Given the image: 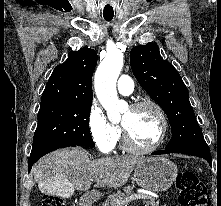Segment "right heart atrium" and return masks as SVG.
Listing matches in <instances>:
<instances>
[{
  "instance_id": "1",
  "label": "right heart atrium",
  "mask_w": 221,
  "mask_h": 206,
  "mask_svg": "<svg viewBox=\"0 0 221 206\" xmlns=\"http://www.w3.org/2000/svg\"><path fill=\"white\" fill-rule=\"evenodd\" d=\"M88 128L92 140L100 152L108 154L114 150L120 139V128L107 119L104 111L96 103L90 107Z\"/></svg>"
}]
</instances>
